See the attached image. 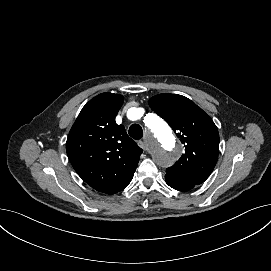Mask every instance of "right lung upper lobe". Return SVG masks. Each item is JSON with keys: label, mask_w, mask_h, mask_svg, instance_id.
<instances>
[{"label": "right lung upper lobe", "mask_w": 271, "mask_h": 271, "mask_svg": "<svg viewBox=\"0 0 271 271\" xmlns=\"http://www.w3.org/2000/svg\"><path fill=\"white\" fill-rule=\"evenodd\" d=\"M118 94L102 93L81 110L66 142L78 175L97 191L114 194L132 180L142 149L115 117L123 104Z\"/></svg>", "instance_id": "cb5924a9"}]
</instances>
